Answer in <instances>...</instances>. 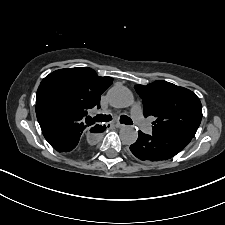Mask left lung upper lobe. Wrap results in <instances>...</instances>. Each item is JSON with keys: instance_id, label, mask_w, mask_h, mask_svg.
Here are the masks:
<instances>
[{"instance_id": "left-lung-upper-lobe-1", "label": "left lung upper lobe", "mask_w": 225, "mask_h": 225, "mask_svg": "<svg viewBox=\"0 0 225 225\" xmlns=\"http://www.w3.org/2000/svg\"><path fill=\"white\" fill-rule=\"evenodd\" d=\"M144 105V116H154L155 135L194 137L202 119L199 98L189 89L157 80L146 86L136 85Z\"/></svg>"}]
</instances>
